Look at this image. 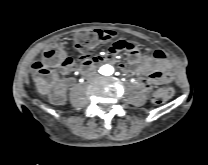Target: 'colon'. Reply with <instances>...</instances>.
<instances>
[{"mask_svg":"<svg viewBox=\"0 0 208 165\" xmlns=\"http://www.w3.org/2000/svg\"><path fill=\"white\" fill-rule=\"evenodd\" d=\"M109 36L102 30L82 31L74 35V46L76 59L91 56L92 49ZM92 57V56H91ZM75 62L73 54L68 53L62 44L53 42L49 44L42 57L35 61L32 70L35 75L43 77L47 83L51 97L58 100L64 97L65 85L57 78V71L71 67ZM173 95L169 87L157 89L153 94V101L156 104H163Z\"/></svg>","mask_w":208,"mask_h":165,"instance_id":"5ec220e1","label":"colon"}]
</instances>
